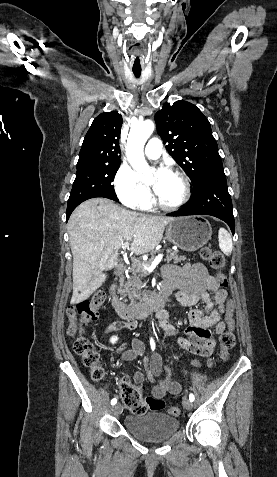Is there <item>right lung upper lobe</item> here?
Wrapping results in <instances>:
<instances>
[{
  "label": "right lung upper lobe",
  "mask_w": 277,
  "mask_h": 477,
  "mask_svg": "<svg viewBox=\"0 0 277 477\" xmlns=\"http://www.w3.org/2000/svg\"><path fill=\"white\" fill-rule=\"evenodd\" d=\"M121 126L122 116L117 111L98 115L84 138L77 168L120 164Z\"/></svg>",
  "instance_id": "1"
}]
</instances>
